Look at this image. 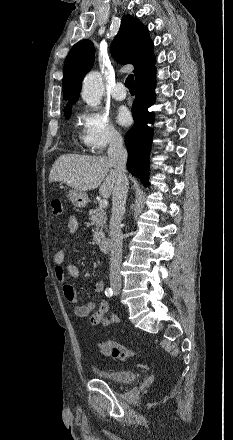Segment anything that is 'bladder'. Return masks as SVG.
Wrapping results in <instances>:
<instances>
[{
    "label": "bladder",
    "instance_id": "31cf9c89",
    "mask_svg": "<svg viewBox=\"0 0 233 440\" xmlns=\"http://www.w3.org/2000/svg\"><path fill=\"white\" fill-rule=\"evenodd\" d=\"M96 374L106 380L115 383H129L137 378V374L132 370H103L96 369Z\"/></svg>",
    "mask_w": 233,
    "mask_h": 440
}]
</instances>
